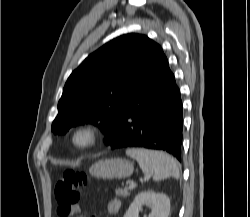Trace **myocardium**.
Segmentation results:
<instances>
[{"label": "myocardium", "mask_w": 250, "mask_h": 217, "mask_svg": "<svg viewBox=\"0 0 250 217\" xmlns=\"http://www.w3.org/2000/svg\"><path fill=\"white\" fill-rule=\"evenodd\" d=\"M98 140V130L92 124H83L75 128L71 142L78 150H88L94 147Z\"/></svg>", "instance_id": "myocardium-1"}]
</instances>
